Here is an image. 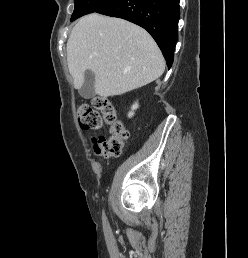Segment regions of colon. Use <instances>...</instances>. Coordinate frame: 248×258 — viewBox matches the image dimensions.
<instances>
[{
    "label": "colon",
    "mask_w": 248,
    "mask_h": 258,
    "mask_svg": "<svg viewBox=\"0 0 248 258\" xmlns=\"http://www.w3.org/2000/svg\"><path fill=\"white\" fill-rule=\"evenodd\" d=\"M77 119L84 129H100L104 125L109 127L108 136L94 139V150L98 156L117 157L121 154L128 131L118 120L112 102L96 97L92 105L81 103L77 106Z\"/></svg>",
    "instance_id": "5ec220e1"
}]
</instances>
